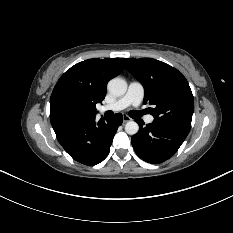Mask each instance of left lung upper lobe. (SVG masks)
I'll list each match as a JSON object with an SVG mask.
<instances>
[{
    "instance_id": "5c2ea615",
    "label": "left lung upper lobe",
    "mask_w": 233,
    "mask_h": 233,
    "mask_svg": "<svg viewBox=\"0 0 233 233\" xmlns=\"http://www.w3.org/2000/svg\"><path fill=\"white\" fill-rule=\"evenodd\" d=\"M128 71L145 90L144 103L155 119L190 130L194 99L185 77L172 66L152 58H123Z\"/></svg>"
}]
</instances>
